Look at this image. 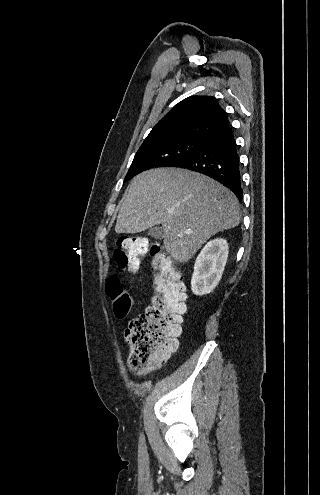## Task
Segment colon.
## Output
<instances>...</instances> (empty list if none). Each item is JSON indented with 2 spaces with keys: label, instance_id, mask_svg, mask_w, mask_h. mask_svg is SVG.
<instances>
[{
  "label": "colon",
  "instance_id": "1",
  "mask_svg": "<svg viewBox=\"0 0 320 495\" xmlns=\"http://www.w3.org/2000/svg\"><path fill=\"white\" fill-rule=\"evenodd\" d=\"M148 254L153 256L155 295L146 311L134 317L125 330V340L130 349L128 365L136 374L160 366L177 349V337L186 311V295L180 275L159 246L141 236H123L116 242L115 258L121 271L135 272ZM106 292L115 315L126 317L132 299L117 277L107 281Z\"/></svg>",
  "mask_w": 320,
  "mask_h": 495
}]
</instances>
